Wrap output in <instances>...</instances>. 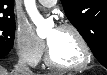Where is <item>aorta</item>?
<instances>
[{
  "label": "aorta",
  "instance_id": "aorta-1",
  "mask_svg": "<svg viewBox=\"0 0 107 75\" xmlns=\"http://www.w3.org/2000/svg\"><path fill=\"white\" fill-rule=\"evenodd\" d=\"M26 11L31 18L32 22L36 25V32L39 36H43L47 33L49 25L40 15L36 8L34 0H24Z\"/></svg>",
  "mask_w": 107,
  "mask_h": 75
}]
</instances>
